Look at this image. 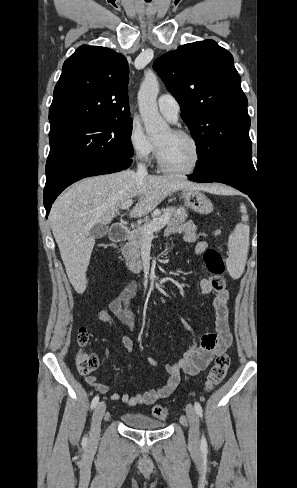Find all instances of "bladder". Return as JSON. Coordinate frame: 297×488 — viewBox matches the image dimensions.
I'll return each mask as SVG.
<instances>
[{
    "label": "bladder",
    "mask_w": 297,
    "mask_h": 488,
    "mask_svg": "<svg viewBox=\"0 0 297 488\" xmlns=\"http://www.w3.org/2000/svg\"><path fill=\"white\" fill-rule=\"evenodd\" d=\"M120 419L127 427L138 430H158L165 426L164 422L142 413H124Z\"/></svg>",
    "instance_id": "obj_1"
}]
</instances>
